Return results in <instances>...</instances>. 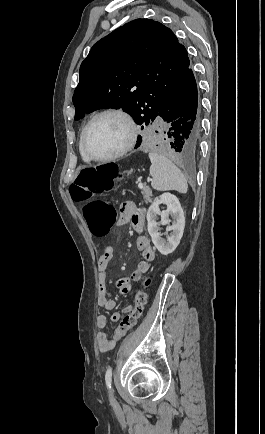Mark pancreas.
<instances>
[{
    "label": "pancreas",
    "mask_w": 265,
    "mask_h": 434,
    "mask_svg": "<svg viewBox=\"0 0 265 434\" xmlns=\"http://www.w3.org/2000/svg\"><path fill=\"white\" fill-rule=\"evenodd\" d=\"M141 190H142V194L145 198V202H151L150 196H152V192H151L149 186H145V184H144V186H143V188H141Z\"/></svg>",
    "instance_id": "pancreas-1"
}]
</instances>
